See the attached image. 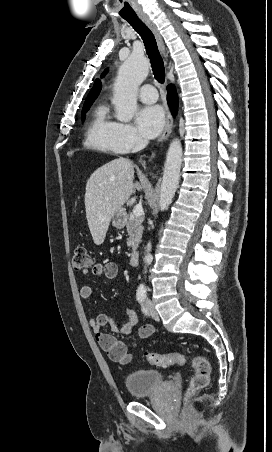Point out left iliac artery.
<instances>
[{
	"label": "left iliac artery",
	"instance_id": "obj_1",
	"mask_svg": "<svg viewBox=\"0 0 272 452\" xmlns=\"http://www.w3.org/2000/svg\"><path fill=\"white\" fill-rule=\"evenodd\" d=\"M142 311L147 314V310L144 308V306L142 307Z\"/></svg>",
	"mask_w": 272,
	"mask_h": 452
}]
</instances>
